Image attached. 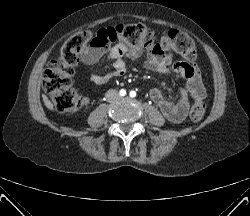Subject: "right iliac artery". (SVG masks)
I'll return each instance as SVG.
<instances>
[{
	"label": "right iliac artery",
	"mask_w": 250,
	"mask_h": 216,
	"mask_svg": "<svg viewBox=\"0 0 250 216\" xmlns=\"http://www.w3.org/2000/svg\"><path fill=\"white\" fill-rule=\"evenodd\" d=\"M119 93H120L121 96H125L126 95V91L124 89H121Z\"/></svg>",
	"instance_id": "right-iliac-artery-1"
}]
</instances>
